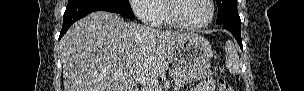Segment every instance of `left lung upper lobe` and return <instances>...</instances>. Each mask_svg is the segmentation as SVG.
Masks as SVG:
<instances>
[{"mask_svg": "<svg viewBox=\"0 0 304 91\" xmlns=\"http://www.w3.org/2000/svg\"><path fill=\"white\" fill-rule=\"evenodd\" d=\"M218 6L217 24L240 19L237 11V0H216Z\"/></svg>", "mask_w": 304, "mask_h": 91, "instance_id": "1", "label": "left lung upper lobe"}]
</instances>
